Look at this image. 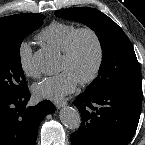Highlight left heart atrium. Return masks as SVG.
Masks as SVG:
<instances>
[{
  "instance_id": "1",
  "label": "left heart atrium",
  "mask_w": 145,
  "mask_h": 145,
  "mask_svg": "<svg viewBox=\"0 0 145 145\" xmlns=\"http://www.w3.org/2000/svg\"><path fill=\"white\" fill-rule=\"evenodd\" d=\"M78 80L68 70H63L55 76L47 77L32 88L38 99L60 100L75 91Z\"/></svg>"
}]
</instances>
